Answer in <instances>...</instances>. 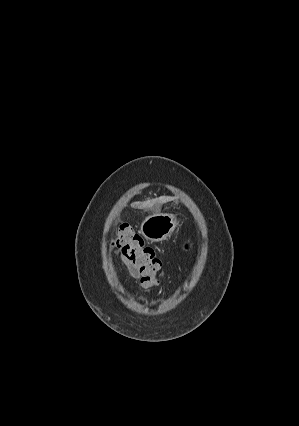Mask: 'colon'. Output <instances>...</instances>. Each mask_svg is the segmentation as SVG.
Listing matches in <instances>:
<instances>
[{"label":"colon","instance_id":"colon-1","mask_svg":"<svg viewBox=\"0 0 299 426\" xmlns=\"http://www.w3.org/2000/svg\"><path fill=\"white\" fill-rule=\"evenodd\" d=\"M112 245L119 248L121 253L129 258L140 273V284L150 290L159 284L158 272L161 261L150 246L145 245L143 238L128 224L120 225L112 239ZM184 248L189 249V243Z\"/></svg>","mask_w":299,"mask_h":426}]
</instances>
